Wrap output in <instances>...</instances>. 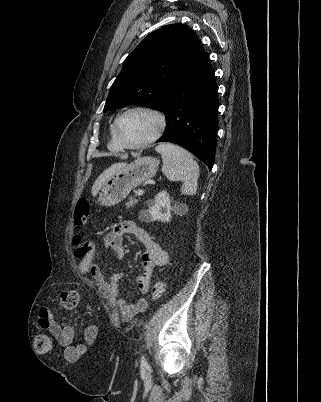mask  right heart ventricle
<instances>
[{
  "label": "right heart ventricle",
  "mask_w": 321,
  "mask_h": 402,
  "mask_svg": "<svg viewBox=\"0 0 321 402\" xmlns=\"http://www.w3.org/2000/svg\"><path fill=\"white\" fill-rule=\"evenodd\" d=\"M108 148L115 153L121 152L123 150L115 138L113 132V124L110 126L109 130Z\"/></svg>",
  "instance_id": "obj_1"
}]
</instances>
